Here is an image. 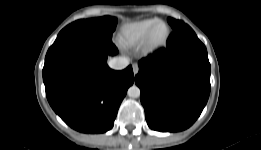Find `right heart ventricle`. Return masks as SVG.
<instances>
[{
    "label": "right heart ventricle",
    "mask_w": 261,
    "mask_h": 150,
    "mask_svg": "<svg viewBox=\"0 0 261 150\" xmlns=\"http://www.w3.org/2000/svg\"><path fill=\"white\" fill-rule=\"evenodd\" d=\"M157 18H146L126 24L120 33V40L125 45H136L144 41L150 28L158 21Z\"/></svg>",
    "instance_id": "1"
}]
</instances>
